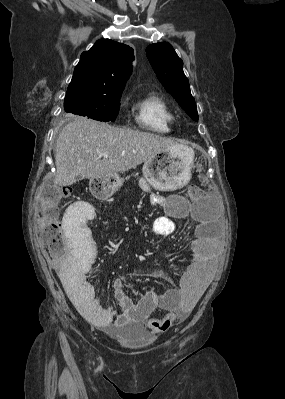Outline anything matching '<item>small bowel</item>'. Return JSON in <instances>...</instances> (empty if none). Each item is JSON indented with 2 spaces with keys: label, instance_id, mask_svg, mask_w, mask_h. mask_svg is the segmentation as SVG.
<instances>
[{
  "label": "small bowel",
  "instance_id": "1",
  "mask_svg": "<svg viewBox=\"0 0 285 399\" xmlns=\"http://www.w3.org/2000/svg\"><path fill=\"white\" fill-rule=\"evenodd\" d=\"M154 205L165 208L166 216L158 217L151 225V232L159 236H169L175 232L174 216L191 217L194 207L184 203L179 196H171L170 202L164 204L158 196L149 195ZM87 208L81 202L69 206L63 218V228L67 243L77 247L74 255L77 260L72 267L55 263L56 272L63 284L66 294L79 312L97 328L113 333L115 330L130 324H144L156 307L168 311L162 320H155L154 326L148 328L156 334H162L180 323L192 312L203 294L211 273V262L205 246V235L195 236L189 243V262L182 275L177 289L160 291L152 289L143 293L135 301L129 296L121 282L114 285V296L122 309L116 313L112 308H103L95 298L94 289L87 279L95 255L90 250L89 221Z\"/></svg>",
  "mask_w": 285,
  "mask_h": 399
}]
</instances>
